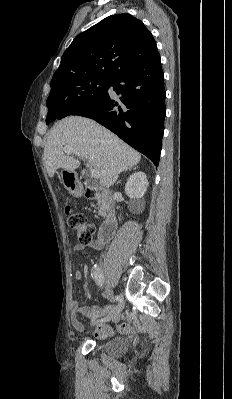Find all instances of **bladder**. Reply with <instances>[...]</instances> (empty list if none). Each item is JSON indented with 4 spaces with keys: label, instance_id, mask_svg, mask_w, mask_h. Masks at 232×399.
<instances>
[{
    "label": "bladder",
    "instance_id": "1",
    "mask_svg": "<svg viewBox=\"0 0 232 399\" xmlns=\"http://www.w3.org/2000/svg\"><path fill=\"white\" fill-rule=\"evenodd\" d=\"M102 352L109 358H119L128 350L126 339L117 337L101 346Z\"/></svg>",
    "mask_w": 232,
    "mask_h": 399
}]
</instances>
